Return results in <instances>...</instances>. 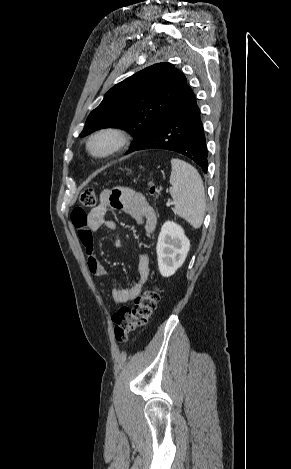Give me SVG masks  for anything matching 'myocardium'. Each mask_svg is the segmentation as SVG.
Wrapping results in <instances>:
<instances>
[{
    "label": "myocardium",
    "mask_w": 291,
    "mask_h": 469,
    "mask_svg": "<svg viewBox=\"0 0 291 469\" xmlns=\"http://www.w3.org/2000/svg\"><path fill=\"white\" fill-rule=\"evenodd\" d=\"M100 137L110 138L111 145L106 151L102 153H95L92 150L91 145L96 139ZM128 142L129 136L124 129L116 126H105L95 130L88 136L85 143V149L89 156L95 159H106L121 151L128 144Z\"/></svg>",
    "instance_id": "myocardium-1"
}]
</instances>
